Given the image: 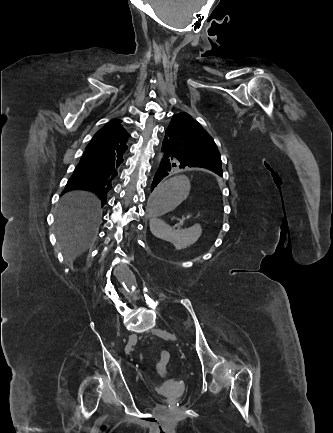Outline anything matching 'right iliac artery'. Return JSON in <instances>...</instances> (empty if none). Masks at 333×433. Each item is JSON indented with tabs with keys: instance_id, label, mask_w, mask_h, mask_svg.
I'll list each match as a JSON object with an SVG mask.
<instances>
[{
	"instance_id": "1",
	"label": "right iliac artery",
	"mask_w": 333,
	"mask_h": 433,
	"mask_svg": "<svg viewBox=\"0 0 333 433\" xmlns=\"http://www.w3.org/2000/svg\"><path fill=\"white\" fill-rule=\"evenodd\" d=\"M125 351L128 352V348H125Z\"/></svg>"
}]
</instances>
